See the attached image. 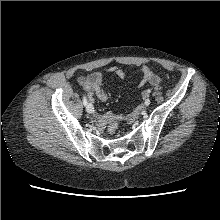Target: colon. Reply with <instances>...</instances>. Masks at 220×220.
Listing matches in <instances>:
<instances>
[{"mask_svg":"<svg viewBox=\"0 0 220 220\" xmlns=\"http://www.w3.org/2000/svg\"><path fill=\"white\" fill-rule=\"evenodd\" d=\"M106 122H107V132L109 135H115L118 129V123L116 120L115 115L108 114L106 116Z\"/></svg>","mask_w":220,"mask_h":220,"instance_id":"colon-1","label":"colon"}]
</instances>
